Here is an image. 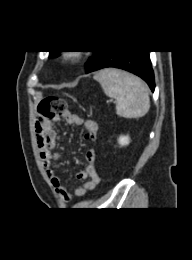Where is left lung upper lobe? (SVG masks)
Listing matches in <instances>:
<instances>
[{"label": "left lung upper lobe", "instance_id": "1", "mask_svg": "<svg viewBox=\"0 0 192 260\" xmlns=\"http://www.w3.org/2000/svg\"><path fill=\"white\" fill-rule=\"evenodd\" d=\"M59 51H49V56L52 57L53 55H55L56 53H58ZM94 52V56L92 58L89 59V61L85 64V67L88 68V66L90 65L91 61L93 60V58L95 57V55L98 53V51H93Z\"/></svg>", "mask_w": 192, "mask_h": 260}]
</instances>
